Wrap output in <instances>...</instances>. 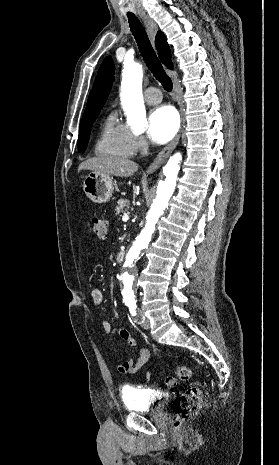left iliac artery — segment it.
Wrapping results in <instances>:
<instances>
[{"label":"left iliac artery","mask_w":279,"mask_h":465,"mask_svg":"<svg viewBox=\"0 0 279 465\" xmlns=\"http://www.w3.org/2000/svg\"><path fill=\"white\" fill-rule=\"evenodd\" d=\"M129 310L132 316H137L138 315V309L136 304H130L129 305Z\"/></svg>","instance_id":"44dca946"}]
</instances>
